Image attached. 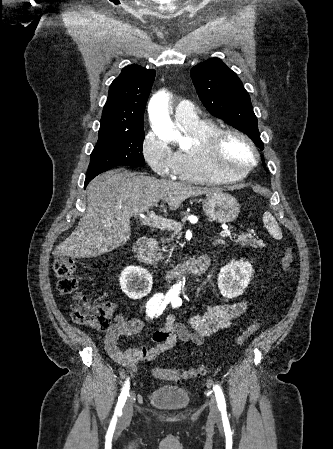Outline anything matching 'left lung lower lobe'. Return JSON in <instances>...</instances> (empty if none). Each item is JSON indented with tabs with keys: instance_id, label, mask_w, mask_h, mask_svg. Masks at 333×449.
Listing matches in <instances>:
<instances>
[{
	"instance_id": "obj_1",
	"label": "left lung lower lobe",
	"mask_w": 333,
	"mask_h": 449,
	"mask_svg": "<svg viewBox=\"0 0 333 449\" xmlns=\"http://www.w3.org/2000/svg\"><path fill=\"white\" fill-rule=\"evenodd\" d=\"M262 161H263V163H264V159L262 158ZM264 166H265V164H264Z\"/></svg>"
}]
</instances>
